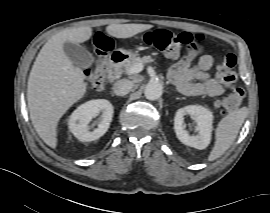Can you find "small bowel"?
I'll list each match as a JSON object with an SVG mask.
<instances>
[{
	"mask_svg": "<svg viewBox=\"0 0 270 213\" xmlns=\"http://www.w3.org/2000/svg\"><path fill=\"white\" fill-rule=\"evenodd\" d=\"M213 62L212 56L207 54L202 55L195 64L191 63V57H183L170 67L169 78L185 95L218 96L224 88L208 73Z\"/></svg>",
	"mask_w": 270,
	"mask_h": 213,
	"instance_id": "1",
	"label": "small bowel"
}]
</instances>
